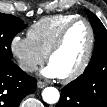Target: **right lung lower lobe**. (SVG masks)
I'll list each match as a JSON object with an SVG mask.
<instances>
[{
	"instance_id": "right-lung-lower-lobe-1",
	"label": "right lung lower lobe",
	"mask_w": 107,
	"mask_h": 107,
	"mask_svg": "<svg viewBox=\"0 0 107 107\" xmlns=\"http://www.w3.org/2000/svg\"><path fill=\"white\" fill-rule=\"evenodd\" d=\"M37 81L13 61H0V107H18L36 89Z\"/></svg>"
}]
</instances>
